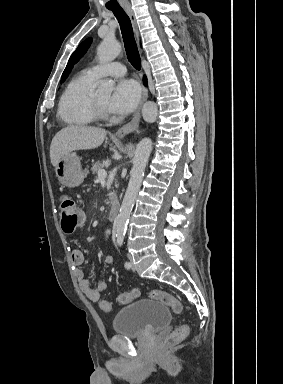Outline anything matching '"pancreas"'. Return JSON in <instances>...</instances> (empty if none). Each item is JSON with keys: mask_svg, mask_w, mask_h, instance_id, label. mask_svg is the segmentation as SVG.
<instances>
[{"mask_svg": "<svg viewBox=\"0 0 283 384\" xmlns=\"http://www.w3.org/2000/svg\"><path fill=\"white\" fill-rule=\"evenodd\" d=\"M99 170H103L101 162H95V164H92L91 172L98 174ZM112 194H114V192H112Z\"/></svg>", "mask_w": 283, "mask_h": 384, "instance_id": "cf45deb5", "label": "pancreas"}]
</instances>
